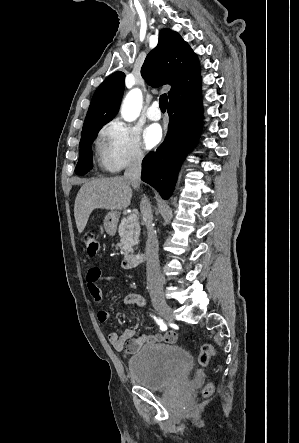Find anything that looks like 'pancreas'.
<instances>
[{
  "instance_id": "obj_1",
  "label": "pancreas",
  "mask_w": 299,
  "mask_h": 443,
  "mask_svg": "<svg viewBox=\"0 0 299 443\" xmlns=\"http://www.w3.org/2000/svg\"><path fill=\"white\" fill-rule=\"evenodd\" d=\"M119 236L121 237V251L124 254L133 252V247L138 244V238L140 235V226L138 218L130 221L127 218H123L119 225Z\"/></svg>"
}]
</instances>
